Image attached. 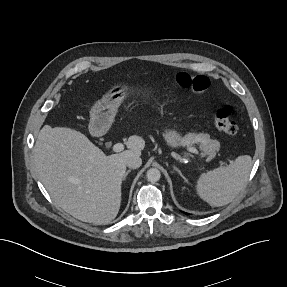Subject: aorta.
Instances as JSON below:
<instances>
[{"mask_svg": "<svg viewBox=\"0 0 287 287\" xmlns=\"http://www.w3.org/2000/svg\"><path fill=\"white\" fill-rule=\"evenodd\" d=\"M148 181L154 183L159 181L161 173L157 168H150L146 173Z\"/></svg>", "mask_w": 287, "mask_h": 287, "instance_id": "aorta-1", "label": "aorta"}]
</instances>
